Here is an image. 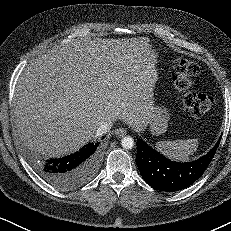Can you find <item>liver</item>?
Returning a JSON list of instances; mask_svg holds the SVG:
<instances>
[{"label": "liver", "instance_id": "obj_1", "mask_svg": "<svg viewBox=\"0 0 231 231\" xmlns=\"http://www.w3.org/2000/svg\"><path fill=\"white\" fill-rule=\"evenodd\" d=\"M147 37L77 39L35 58L17 82L15 123L32 150L58 158L94 139L104 122L140 131L154 111L158 75Z\"/></svg>", "mask_w": 231, "mask_h": 231}]
</instances>
